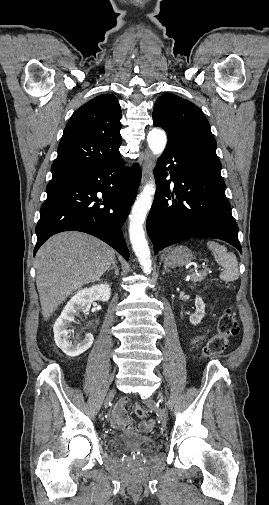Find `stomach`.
<instances>
[{
  "instance_id": "1",
  "label": "stomach",
  "mask_w": 269,
  "mask_h": 505,
  "mask_svg": "<svg viewBox=\"0 0 269 505\" xmlns=\"http://www.w3.org/2000/svg\"><path fill=\"white\" fill-rule=\"evenodd\" d=\"M163 259L166 266H183L191 262L193 253L186 246L180 245L165 252Z\"/></svg>"
}]
</instances>
